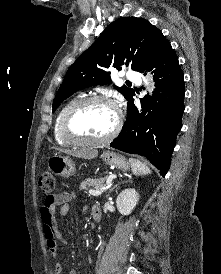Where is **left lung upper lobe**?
<instances>
[{
  "mask_svg": "<svg viewBox=\"0 0 221 274\" xmlns=\"http://www.w3.org/2000/svg\"><path fill=\"white\" fill-rule=\"evenodd\" d=\"M168 42L162 32L145 19L125 17L112 22L68 69L56 93L53 112L75 92L109 84L114 68L121 70L123 66H129L142 72ZM115 88L126 100L134 95V90L126 86Z\"/></svg>",
  "mask_w": 221,
  "mask_h": 274,
  "instance_id": "5c2ea615",
  "label": "left lung upper lobe"
}]
</instances>
